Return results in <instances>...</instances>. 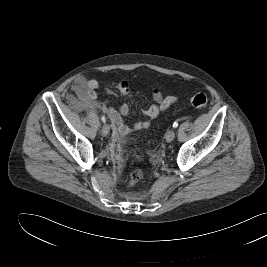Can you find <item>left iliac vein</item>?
I'll list each match as a JSON object with an SVG mask.
<instances>
[{
	"label": "left iliac vein",
	"instance_id": "obj_1",
	"mask_svg": "<svg viewBox=\"0 0 267 267\" xmlns=\"http://www.w3.org/2000/svg\"><path fill=\"white\" fill-rule=\"evenodd\" d=\"M166 141L167 142H172L175 138V132L173 129L167 131L166 135H165Z\"/></svg>",
	"mask_w": 267,
	"mask_h": 267
}]
</instances>
